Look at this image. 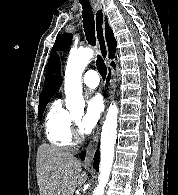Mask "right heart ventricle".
<instances>
[{
  "instance_id": "1",
  "label": "right heart ventricle",
  "mask_w": 178,
  "mask_h": 195,
  "mask_svg": "<svg viewBox=\"0 0 178 195\" xmlns=\"http://www.w3.org/2000/svg\"><path fill=\"white\" fill-rule=\"evenodd\" d=\"M45 134L55 146L69 147L73 144L72 117L60 99L55 100L47 112Z\"/></svg>"
}]
</instances>
